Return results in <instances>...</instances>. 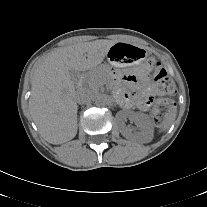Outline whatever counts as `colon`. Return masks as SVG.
Segmentation results:
<instances>
[{
	"mask_svg": "<svg viewBox=\"0 0 207 207\" xmlns=\"http://www.w3.org/2000/svg\"><path fill=\"white\" fill-rule=\"evenodd\" d=\"M149 65L153 71L156 81L157 92L161 96H172L176 92V86L168 76L166 69L155 59L149 60ZM174 103L166 98H161L153 111V118L156 123H161L163 119L174 111Z\"/></svg>",
	"mask_w": 207,
	"mask_h": 207,
	"instance_id": "colon-1",
	"label": "colon"
}]
</instances>
